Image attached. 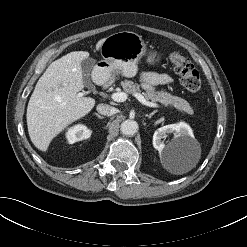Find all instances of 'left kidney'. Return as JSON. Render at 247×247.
Listing matches in <instances>:
<instances>
[{
  "instance_id": "left-kidney-1",
  "label": "left kidney",
  "mask_w": 247,
  "mask_h": 247,
  "mask_svg": "<svg viewBox=\"0 0 247 247\" xmlns=\"http://www.w3.org/2000/svg\"><path fill=\"white\" fill-rule=\"evenodd\" d=\"M172 133L174 138L165 145L162 139ZM195 145L197 141L192 129L184 122L163 126L153 135V146L158 150L160 157H186Z\"/></svg>"
}]
</instances>
